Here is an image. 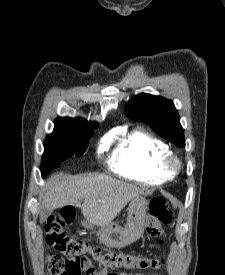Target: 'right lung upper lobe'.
Wrapping results in <instances>:
<instances>
[{
	"label": "right lung upper lobe",
	"mask_w": 225,
	"mask_h": 275,
	"mask_svg": "<svg viewBox=\"0 0 225 275\" xmlns=\"http://www.w3.org/2000/svg\"><path fill=\"white\" fill-rule=\"evenodd\" d=\"M55 124H66V125H75V126H97L98 123L88 122L83 118H69V117H59L55 120Z\"/></svg>",
	"instance_id": "cb5924a9"
}]
</instances>
